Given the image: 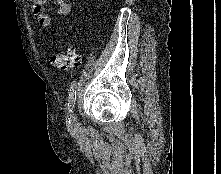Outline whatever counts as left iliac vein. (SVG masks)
<instances>
[{
    "mask_svg": "<svg viewBox=\"0 0 221 174\" xmlns=\"http://www.w3.org/2000/svg\"><path fill=\"white\" fill-rule=\"evenodd\" d=\"M70 125L75 130L79 129V127H80V124H79V122L77 120V116H76L75 113H72L70 115Z\"/></svg>",
    "mask_w": 221,
    "mask_h": 174,
    "instance_id": "obj_1",
    "label": "left iliac vein"
}]
</instances>
